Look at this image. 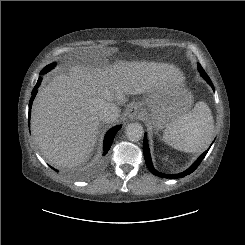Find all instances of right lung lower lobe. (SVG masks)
Wrapping results in <instances>:
<instances>
[{
	"mask_svg": "<svg viewBox=\"0 0 245 245\" xmlns=\"http://www.w3.org/2000/svg\"><path fill=\"white\" fill-rule=\"evenodd\" d=\"M48 71L46 70H42L41 71V74H46ZM41 81L42 79L39 78L38 81H37V84L35 85L33 91H32V97L30 99V102H29V120H30V113H31V107H32V102L37 94V89L39 87V85L41 84ZM122 126L119 125V126H116L112 129H110L107 134L105 135V138H104V145H103V156H105L107 154V152L109 151L110 147H111V144L113 142V139L116 135V133L120 130Z\"/></svg>",
	"mask_w": 245,
	"mask_h": 245,
	"instance_id": "obj_1",
	"label": "right lung lower lobe"
}]
</instances>
